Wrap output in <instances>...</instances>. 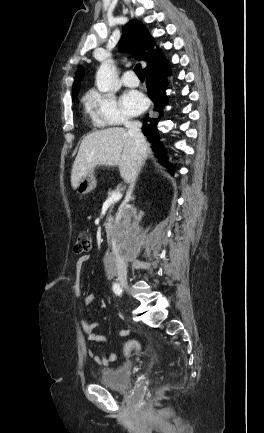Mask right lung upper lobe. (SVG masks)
<instances>
[{
	"mask_svg": "<svg viewBox=\"0 0 264 433\" xmlns=\"http://www.w3.org/2000/svg\"><path fill=\"white\" fill-rule=\"evenodd\" d=\"M155 42L148 32L147 28L137 20H132L124 27V38L119 44V50H127L140 60L148 62L145 68L153 67L166 59L161 49L155 46ZM83 70L80 68L76 73V81L73 84V97L76 98L80 89V80L82 79Z\"/></svg>",
	"mask_w": 264,
	"mask_h": 433,
	"instance_id": "obj_1",
	"label": "right lung upper lobe"
}]
</instances>
